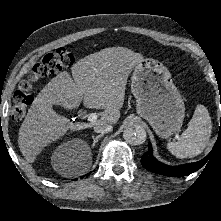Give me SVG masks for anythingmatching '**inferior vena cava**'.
I'll return each instance as SVG.
<instances>
[{
	"label": "inferior vena cava",
	"instance_id": "obj_1",
	"mask_svg": "<svg viewBox=\"0 0 221 221\" xmlns=\"http://www.w3.org/2000/svg\"><path fill=\"white\" fill-rule=\"evenodd\" d=\"M112 130H113L112 125L108 123H97L94 126V131L96 133L104 134V133L111 132Z\"/></svg>",
	"mask_w": 221,
	"mask_h": 221
}]
</instances>
